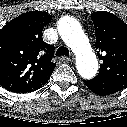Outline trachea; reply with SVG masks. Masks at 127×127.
<instances>
[{
	"instance_id": "3493384b",
	"label": "trachea",
	"mask_w": 127,
	"mask_h": 127,
	"mask_svg": "<svg viewBox=\"0 0 127 127\" xmlns=\"http://www.w3.org/2000/svg\"><path fill=\"white\" fill-rule=\"evenodd\" d=\"M56 56H69V50L64 46H61L58 48Z\"/></svg>"
}]
</instances>
